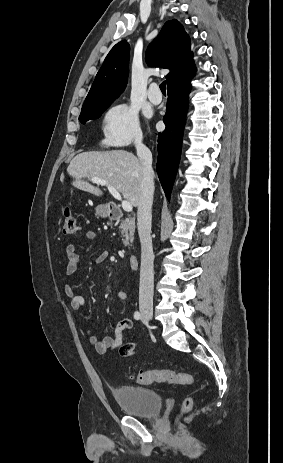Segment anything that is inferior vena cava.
<instances>
[{
  "mask_svg": "<svg viewBox=\"0 0 283 463\" xmlns=\"http://www.w3.org/2000/svg\"><path fill=\"white\" fill-rule=\"evenodd\" d=\"M135 147L137 156L143 166V178L140 185L137 211V227L141 243L139 308L140 311L152 312L154 292V254L151 238V208L154 194L152 153L142 143V139L135 141Z\"/></svg>",
  "mask_w": 283,
  "mask_h": 463,
  "instance_id": "1",
  "label": "inferior vena cava"
}]
</instances>
